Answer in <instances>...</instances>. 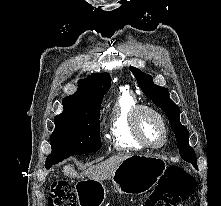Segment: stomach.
Masks as SVG:
<instances>
[{"instance_id":"stomach-1","label":"stomach","mask_w":221,"mask_h":206,"mask_svg":"<svg viewBox=\"0 0 221 206\" xmlns=\"http://www.w3.org/2000/svg\"><path fill=\"white\" fill-rule=\"evenodd\" d=\"M167 168L166 162L154 155H130L117 167L111 181L120 193L143 194L152 189ZM107 194L102 181L83 179L77 184L79 206H101Z\"/></svg>"}]
</instances>
